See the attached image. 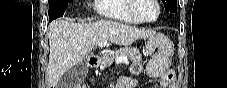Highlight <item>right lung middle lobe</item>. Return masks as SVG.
Returning <instances> with one entry per match:
<instances>
[{"mask_svg":"<svg viewBox=\"0 0 227 88\" xmlns=\"http://www.w3.org/2000/svg\"><path fill=\"white\" fill-rule=\"evenodd\" d=\"M70 0H49V20L52 21L62 17Z\"/></svg>","mask_w":227,"mask_h":88,"instance_id":"obj_1","label":"right lung middle lobe"}]
</instances>
